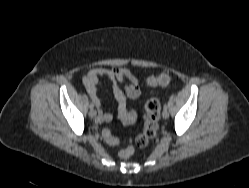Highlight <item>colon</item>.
<instances>
[{
  "mask_svg": "<svg viewBox=\"0 0 249 188\" xmlns=\"http://www.w3.org/2000/svg\"><path fill=\"white\" fill-rule=\"evenodd\" d=\"M171 82V76L168 73H161L159 75L148 78L149 86L168 85ZM159 101L153 95H150L144 104V126L142 132L135 138V142L139 147H144L149 140L155 136L159 124ZM103 137L110 145H117L120 139L114 136L109 129H103ZM133 148L127 147L120 152V157L128 159L133 154Z\"/></svg>",
  "mask_w": 249,
  "mask_h": 188,
  "instance_id": "5ec220e1",
  "label": "colon"
}]
</instances>
